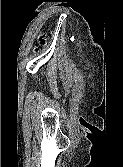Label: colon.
Wrapping results in <instances>:
<instances>
[{
	"mask_svg": "<svg viewBox=\"0 0 123 167\" xmlns=\"http://www.w3.org/2000/svg\"><path fill=\"white\" fill-rule=\"evenodd\" d=\"M46 36L44 34L40 35L39 37V45L42 46L45 44ZM36 51H38V48H36Z\"/></svg>",
	"mask_w": 123,
	"mask_h": 167,
	"instance_id": "obj_1",
	"label": "colon"
}]
</instances>
